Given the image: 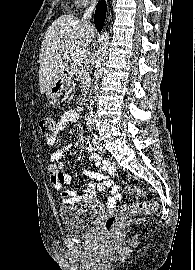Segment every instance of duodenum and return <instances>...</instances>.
Here are the masks:
<instances>
[{
	"instance_id": "1",
	"label": "duodenum",
	"mask_w": 195,
	"mask_h": 270,
	"mask_svg": "<svg viewBox=\"0 0 195 270\" xmlns=\"http://www.w3.org/2000/svg\"><path fill=\"white\" fill-rule=\"evenodd\" d=\"M66 74H68V72H66ZM86 99H87V96H86V94L84 93V94L82 95V101L85 102Z\"/></svg>"
}]
</instances>
